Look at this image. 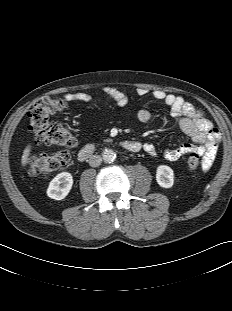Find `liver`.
Listing matches in <instances>:
<instances>
[{"label":"liver","mask_w":232,"mask_h":311,"mask_svg":"<svg viewBox=\"0 0 232 311\" xmlns=\"http://www.w3.org/2000/svg\"><path fill=\"white\" fill-rule=\"evenodd\" d=\"M30 152H31V146L27 145L23 151V155H22V159H21V163L23 166H25L28 163V160H29L28 157L30 155Z\"/></svg>","instance_id":"obj_1"}]
</instances>
